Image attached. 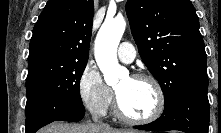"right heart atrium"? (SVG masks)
<instances>
[{"label":"right heart atrium","mask_w":221,"mask_h":133,"mask_svg":"<svg viewBox=\"0 0 221 133\" xmlns=\"http://www.w3.org/2000/svg\"><path fill=\"white\" fill-rule=\"evenodd\" d=\"M78 95L83 106L95 115L105 114L114 100L112 89L105 84L93 64H87L79 77Z\"/></svg>","instance_id":"1"}]
</instances>
